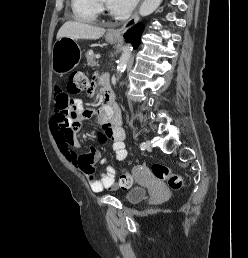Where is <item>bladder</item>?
Here are the masks:
<instances>
[{"label": "bladder", "instance_id": "obj_1", "mask_svg": "<svg viewBox=\"0 0 248 258\" xmlns=\"http://www.w3.org/2000/svg\"><path fill=\"white\" fill-rule=\"evenodd\" d=\"M147 194L146 189L133 187L125 194V200L130 204H136L144 200Z\"/></svg>", "mask_w": 248, "mask_h": 258}]
</instances>
